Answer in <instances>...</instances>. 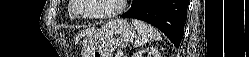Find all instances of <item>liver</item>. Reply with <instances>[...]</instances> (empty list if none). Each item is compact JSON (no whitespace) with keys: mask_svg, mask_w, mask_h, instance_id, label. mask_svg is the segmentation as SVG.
Segmentation results:
<instances>
[{"mask_svg":"<svg viewBox=\"0 0 249 57\" xmlns=\"http://www.w3.org/2000/svg\"><path fill=\"white\" fill-rule=\"evenodd\" d=\"M93 30H87L85 31V33H91Z\"/></svg>","mask_w":249,"mask_h":57,"instance_id":"6515ba94","label":"liver"}]
</instances>
